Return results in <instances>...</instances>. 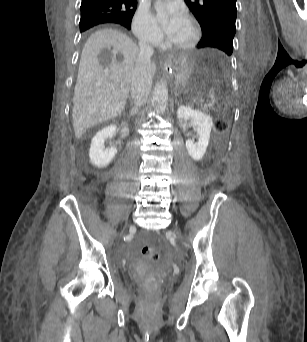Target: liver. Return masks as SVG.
<instances>
[{
  "mask_svg": "<svg viewBox=\"0 0 307 342\" xmlns=\"http://www.w3.org/2000/svg\"><path fill=\"white\" fill-rule=\"evenodd\" d=\"M138 56V46L119 30H99L88 38L73 96L78 140L94 124L113 120L124 110ZM151 68L155 74V64Z\"/></svg>",
  "mask_w": 307,
  "mask_h": 342,
  "instance_id": "liver-1",
  "label": "liver"
}]
</instances>
